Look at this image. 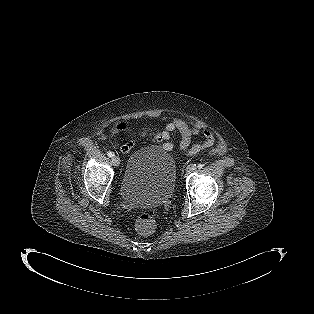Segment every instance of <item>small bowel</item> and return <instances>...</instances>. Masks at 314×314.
I'll use <instances>...</instances> for the list:
<instances>
[{"instance_id": "small-bowel-1", "label": "small bowel", "mask_w": 314, "mask_h": 314, "mask_svg": "<svg viewBox=\"0 0 314 314\" xmlns=\"http://www.w3.org/2000/svg\"><path fill=\"white\" fill-rule=\"evenodd\" d=\"M175 131H177L180 135V148L183 151L190 149L193 135L200 132L203 133V140L195 144L190 149V154H196L200 150L207 149L213 146L215 142V136L210 129L203 128L198 125H189L182 119L174 118L172 121L166 123L161 131L145 130L141 132L139 138L132 139L124 143L120 148V152L122 154L129 153L140 138H145L153 142L161 143L163 150L171 151L173 148L171 135Z\"/></svg>"}]
</instances>
